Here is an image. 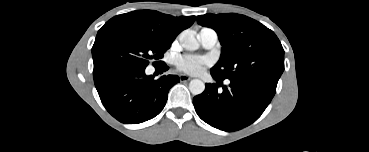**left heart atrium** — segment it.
I'll return each instance as SVG.
<instances>
[{
	"label": "left heart atrium",
	"mask_w": 369,
	"mask_h": 152,
	"mask_svg": "<svg viewBox=\"0 0 369 152\" xmlns=\"http://www.w3.org/2000/svg\"><path fill=\"white\" fill-rule=\"evenodd\" d=\"M207 63L206 58L194 55L181 56L175 61L179 71L192 75L199 74Z\"/></svg>",
	"instance_id": "1"
}]
</instances>
